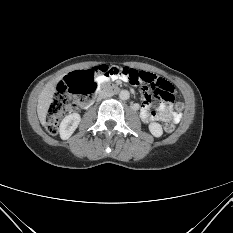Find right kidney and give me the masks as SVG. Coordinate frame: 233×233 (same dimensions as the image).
<instances>
[{"mask_svg": "<svg viewBox=\"0 0 233 233\" xmlns=\"http://www.w3.org/2000/svg\"><path fill=\"white\" fill-rule=\"evenodd\" d=\"M80 121H81V117L78 113L67 115L61 121L60 126H59L60 137L63 140L68 139L74 133Z\"/></svg>", "mask_w": 233, "mask_h": 233, "instance_id": "ca27d5eb", "label": "right kidney"}]
</instances>
